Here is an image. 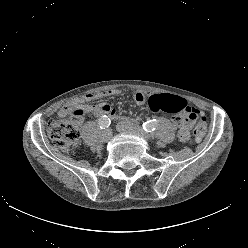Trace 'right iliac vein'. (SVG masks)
I'll return each mask as SVG.
<instances>
[{
  "instance_id": "obj_1",
  "label": "right iliac vein",
  "mask_w": 248,
  "mask_h": 248,
  "mask_svg": "<svg viewBox=\"0 0 248 248\" xmlns=\"http://www.w3.org/2000/svg\"><path fill=\"white\" fill-rule=\"evenodd\" d=\"M111 137H112V132L109 129H107L102 133L101 138L104 142H108L111 139Z\"/></svg>"
}]
</instances>
